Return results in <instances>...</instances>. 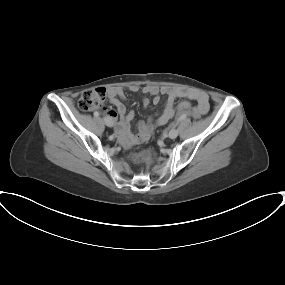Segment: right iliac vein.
Masks as SVG:
<instances>
[{"mask_svg": "<svg viewBox=\"0 0 285 285\" xmlns=\"http://www.w3.org/2000/svg\"><path fill=\"white\" fill-rule=\"evenodd\" d=\"M104 122L108 127H112L114 125L113 121L108 117L104 118Z\"/></svg>", "mask_w": 285, "mask_h": 285, "instance_id": "1", "label": "right iliac vein"}]
</instances>
